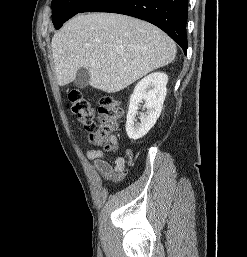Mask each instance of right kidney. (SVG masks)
<instances>
[{
	"label": "right kidney",
	"mask_w": 247,
	"mask_h": 257,
	"mask_svg": "<svg viewBox=\"0 0 247 257\" xmlns=\"http://www.w3.org/2000/svg\"><path fill=\"white\" fill-rule=\"evenodd\" d=\"M167 74L154 72L137 83L130 97L127 113L126 132L130 139L137 140L145 136L159 118L166 97ZM145 101L146 113L141 116V123L134 122L139 103Z\"/></svg>",
	"instance_id": "obj_1"
}]
</instances>
